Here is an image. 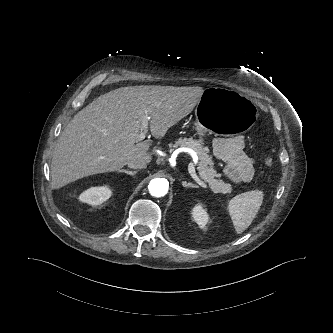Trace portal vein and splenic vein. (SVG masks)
Returning a JSON list of instances; mask_svg holds the SVG:
<instances>
[{
	"label": "portal vein and splenic vein",
	"mask_w": 333,
	"mask_h": 333,
	"mask_svg": "<svg viewBox=\"0 0 333 333\" xmlns=\"http://www.w3.org/2000/svg\"><path fill=\"white\" fill-rule=\"evenodd\" d=\"M150 117L148 116H144L142 118V125H141V131L139 133V135L137 136V142L142 141L143 139H145L146 133L148 132V121H149ZM192 160L193 162L189 163L188 166V170L190 175L192 176V178L203 188H206V184L197 176L196 172H195V168H194V164L197 163L198 157L196 155V153H194L192 155Z\"/></svg>",
	"instance_id": "portal-vein-and-splenic-vein-1"
}]
</instances>
